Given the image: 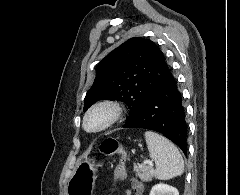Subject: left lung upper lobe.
I'll return each mask as SVG.
<instances>
[{"label":"left lung upper lobe","instance_id":"5c2ea615","mask_svg":"<svg viewBox=\"0 0 240 195\" xmlns=\"http://www.w3.org/2000/svg\"><path fill=\"white\" fill-rule=\"evenodd\" d=\"M84 99V111L98 100L128 105L130 121L169 73L163 53L149 39L133 37L110 52L96 67Z\"/></svg>","mask_w":240,"mask_h":195}]
</instances>
